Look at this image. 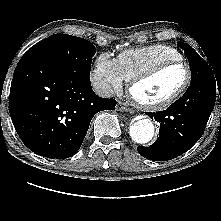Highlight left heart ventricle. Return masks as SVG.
Returning a JSON list of instances; mask_svg holds the SVG:
<instances>
[{"instance_id": "b2bd125f", "label": "left heart ventricle", "mask_w": 221, "mask_h": 221, "mask_svg": "<svg viewBox=\"0 0 221 221\" xmlns=\"http://www.w3.org/2000/svg\"><path fill=\"white\" fill-rule=\"evenodd\" d=\"M185 78L186 69L184 66H172L139 84L134 93L144 102H160L174 94L183 85Z\"/></svg>"}]
</instances>
